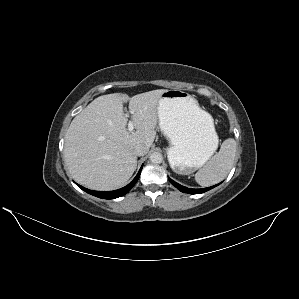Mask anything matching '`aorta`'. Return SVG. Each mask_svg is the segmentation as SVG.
Here are the masks:
<instances>
[{
  "instance_id": "762f6f07",
  "label": "aorta",
  "mask_w": 299,
  "mask_h": 299,
  "mask_svg": "<svg viewBox=\"0 0 299 299\" xmlns=\"http://www.w3.org/2000/svg\"><path fill=\"white\" fill-rule=\"evenodd\" d=\"M162 160H163V156L159 152H154L150 155V161L153 164H160L162 162Z\"/></svg>"
}]
</instances>
